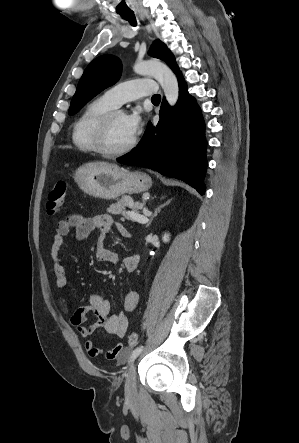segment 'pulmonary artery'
<instances>
[{
    "label": "pulmonary artery",
    "instance_id": "e3ab8cb5",
    "mask_svg": "<svg viewBox=\"0 0 299 443\" xmlns=\"http://www.w3.org/2000/svg\"><path fill=\"white\" fill-rule=\"evenodd\" d=\"M156 91V83L153 80L134 79L113 86L104 93L103 97L112 105L118 107L127 101L154 95Z\"/></svg>",
    "mask_w": 299,
    "mask_h": 443
}]
</instances>
